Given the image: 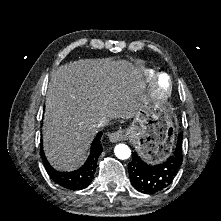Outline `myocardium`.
<instances>
[{
  "instance_id": "1",
  "label": "myocardium",
  "mask_w": 221,
  "mask_h": 221,
  "mask_svg": "<svg viewBox=\"0 0 221 221\" xmlns=\"http://www.w3.org/2000/svg\"><path fill=\"white\" fill-rule=\"evenodd\" d=\"M161 76H166V77H167L168 85H167V87H166L165 89H163V90H161V91H159V90L156 89V90L154 91V93H155L157 99H159V100H161V101H166V100L170 97V95H171V93H172V82H171L170 76H169L167 73L164 72V73L159 74V75L156 77V79H155V83H156V84L158 83L159 78H160Z\"/></svg>"
}]
</instances>
